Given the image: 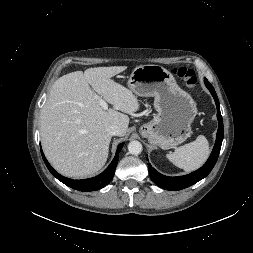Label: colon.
Listing matches in <instances>:
<instances>
[{"mask_svg": "<svg viewBox=\"0 0 253 253\" xmlns=\"http://www.w3.org/2000/svg\"><path fill=\"white\" fill-rule=\"evenodd\" d=\"M173 73L182 79L186 86L190 89H195L197 85V77L192 69L185 67L175 68Z\"/></svg>", "mask_w": 253, "mask_h": 253, "instance_id": "1", "label": "colon"}]
</instances>
